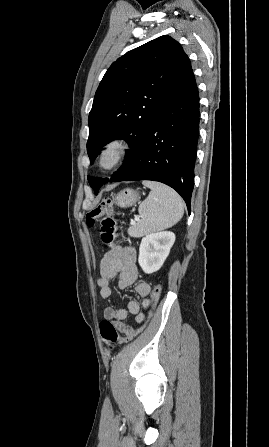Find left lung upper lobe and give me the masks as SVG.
<instances>
[{"mask_svg":"<svg viewBox=\"0 0 269 447\" xmlns=\"http://www.w3.org/2000/svg\"><path fill=\"white\" fill-rule=\"evenodd\" d=\"M186 57L177 41L161 36L127 52L105 73L89 113L88 156L92 163L102 147L115 139L125 140L130 150L110 179L88 176L95 194L104 182L119 176L141 150Z\"/></svg>","mask_w":269,"mask_h":447,"instance_id":"5c2ea615","label":"left lung upper lobe"}]
</instances>
